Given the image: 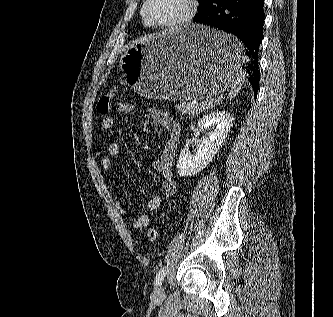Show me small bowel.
<instances>
[{"label":"small bowel","mask_w":333,"mask_h":317,"mask_svg":"<svg viewBox=\"0 0 333 317\" xmlns=\"http://www.w3.org/2000/svg\"><path fill=\"white\" fill-rule=\"evenodd\" d=\"M136 109V106L130 102H121L117 105L116 111L118 113L127 114ZM148 113L153 120L165 128L170 136L166 141L162 152L157 160L154 161L153 166L155 171L161 178L160 189L162 196L172 197L177 193L178 184L173 176L172 165L175 158L177 149V140L179 134V126L177 122L163 110L157 108L148 109ZM116 124V118L112 115L105 116L101 121V130L107 132ZM107 155L101 159V166L107 172L113 171V163L111 158L116 157L120 153V146L117 143H111L107 148ZM161 195H153L146 203V210L148 212L156 211L162 203ZM118 210L121 215H125L124 210L120 204L115 200ZM150 221L149 214L147 212L140 213L130 224L135 229L145 228Z\"/></svg>","instance_id":"1"}]
</instances>
